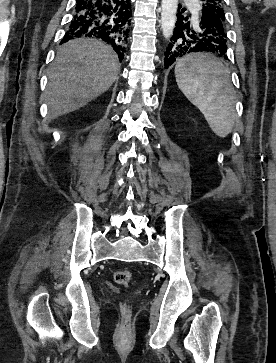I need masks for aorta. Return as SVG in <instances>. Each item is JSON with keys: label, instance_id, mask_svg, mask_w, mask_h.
<instances>
[{"label": "aorta", "instance_id": "aorta-1", "mask_svg": "<svg viewBox=\"0 0 276 363\" xmlns=\"http://www.w3.org/2000/svg\"><path fill=\"white\" fill-rule=\"evenodd\" d=\"M178 0H162L161 29L163 36L169 39L173 35L176 23Z\"/></svg>", "mask_w": 276, "mask_h": 363}]
</instances>
